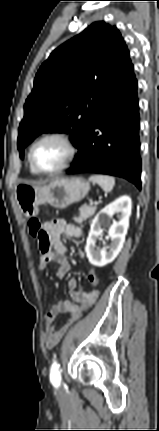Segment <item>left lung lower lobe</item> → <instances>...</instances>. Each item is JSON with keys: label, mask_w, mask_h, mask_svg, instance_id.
I'll list each match as a JSON object with an SVG mask.
<instances>
[{"label": "left lung lower lobe", "mask_w": 159, "mask_h": 431, "mask_svg": "<svg viewBox=\"0 0 159 431\" xmlns=\"http://www.w3.org/2000/svg\"><path fill=\"white\" fill-rule=\"evenodd\" d=\"M137 80L133 65L89 122L68 174L118 176L141 189Z\"/></svg>", "instance_id": "1"}]
</instances>
